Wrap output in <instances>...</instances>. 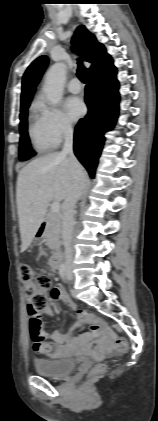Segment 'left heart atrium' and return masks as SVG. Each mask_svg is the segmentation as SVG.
Here are the masks:
<instances>
[{
    "instance_id": "obj_1",
    "label": "left heart atrium",
    "mask_w": 158,
    "mask_h": 421,
    "mask_svg": "<svg viewBox=\"0 0 158 421\" xmlns=\"http://www.w3.org/2000/svg\"><path fill=\"white\" fill-rule=\"evenodd\" d=\"M65 110L68 116L76 121L82 117L86 111L84 102L78 97H70L65 102Z\"/></svg>"
}]
</instances>
